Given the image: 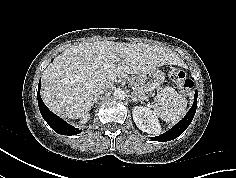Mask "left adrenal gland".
Segmentation results:
<instances>
[{
    "label": "left adrenal gland",
    "mask_w": 236,
    "mask_h": 178,
    "mask_svg": "<svg viewBox=\"0 0 236 178\" xmlns=\"http://www.w3.org/2000/svg\"><path fill=\"white\" fill-rule=\"evenodd\" d=\"M131 98H132V100H133V102H137V101H140L141 103H142V101L140 100V99H138L135 95H134V93H131Z\"/></svg>",
    "instance_id": "1"
}]
</instances>
